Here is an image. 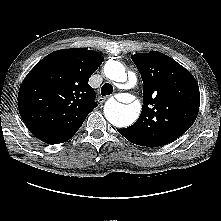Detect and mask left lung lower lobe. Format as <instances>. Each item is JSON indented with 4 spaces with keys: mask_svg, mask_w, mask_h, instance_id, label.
<instances>
[{
    "mask_svg": "<svg viewBox=\"0 0 221 221\" xmlns=\"http://www.w3.org/2000/svg\"><path fill=\"white\" fill-rule=\"evenodd\" d=\"M118 132L129 140V133L125 129H118Z\"/></svg>",
    "mask_w": 221,
    "mask_h": 221,
    "instance_id": "0a47b994",
    "label": "left lung lower lobe"
}]
</instances>
